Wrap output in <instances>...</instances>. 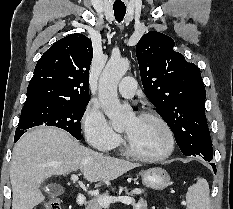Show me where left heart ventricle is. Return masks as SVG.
<instances>
[{
	"mask_svg": "<svg viewBox=\"0 0 233 209\" xmlns=\"http://www.w3.org/2000/svg\"><path fill=\"white\" fill-rule=\"evenodd\" d=\"M123 131L134 150L143 155H158L167 146L166 133L154 119L132 116Z\"/></svg>",
	"mask_w": 233,
	"mask_h": 209,
	"instance_id": "obj_1",
	"label": "left heart ventricle"
}]
</instances>
